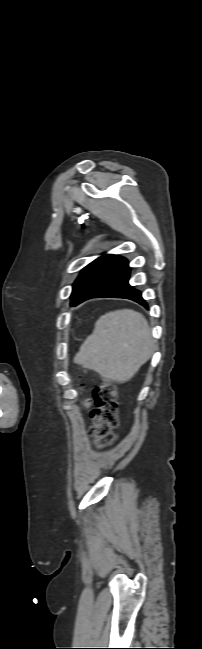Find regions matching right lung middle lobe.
Returning <instances> with one entry per match:
<instances>
[{"instance_id":"1","label":"right lung middle lobe","mask_w":202,"mask_h":649,"mask_svg":"<svg viewBox=\"0 0 202 649\" xmlns=\"http://www.w3.org/2000/svg\"><path fill=\"white\" fill-rule=\"evenodd\" d=\"M117 256L108 255L102 256L88 266H86L79 277L76 279L73 284V292L71 295V306L78 304V301L81 297L82 292L85 290L86 286L93 280L108 264H110Z\"/></svg>"}]
</instances>
